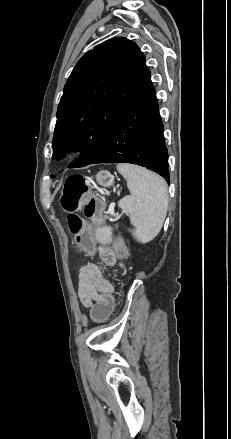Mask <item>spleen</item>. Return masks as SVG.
I'll return each mask as SVG.
<instances>
[{
  "instance_id": "3e777b00",
  "label": "spleen",
  "mask_w": 231,
  "mask_h": 439,
  "mask_svg": "<svg viewBox=\"0 0 231 439\" xmlns=\"http://www.w3.org/2000/svg\"><path fill=\"white\" fill-rule=\"evenodd\" d=\"M117 170L127 181L130 190V195L121 199L119 206L127 212L135 226L133 236L141 242H148L160 232L166 218V182L155 173L136 165L119 164ZM111 236L109 227L96 229L99 242H108Z\"/></svg>"
}]
</instances>
